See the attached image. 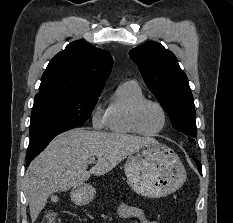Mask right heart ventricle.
Returning a JSON list of instances; mask_svg holds the SVG:
<instances>
[{
	"instance_id": "1",
	"label": "right heart ventricle",
	"mask_w": 233,
	"mask_h": 223,
	"mask_svg": "<svg viewBox=\"0 0 233 223\" xmlns=\"http://www.w3.org/2000/svg\"><path fill=\"white\" fill-rule=\"evenodd\" d=\"M145 98L138 82L134 80L121 83L111 98L105 113V126L115 134L136 135L131 126L130 114L133 106Z\"/></svg>"
}]
</instances>
